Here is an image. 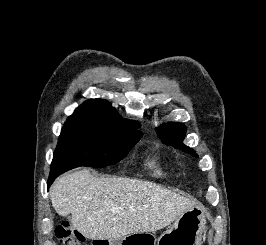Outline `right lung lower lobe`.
Returning a JSON list of instances; mask_svg holds the SVG:
<instances>
[{"label":"right lung lower lobe","mask_w":266,"mask_h":245,"mask_svg":"<svg viewBox=\"0 0 266 245\" xmlns=\"http://www.w3.org/2000/svg\"><path fill=\"white\" fill-rule=\"evenodd\" d=\"M58 175H59L58 173H50L49 180H48V188H49V186L52 184V182L54 181V179H55Z\"/></svg>","instance_id":"1"}]
</instances>
